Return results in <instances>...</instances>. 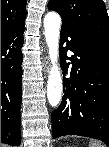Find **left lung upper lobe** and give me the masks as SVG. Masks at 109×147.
<instances>
[{
  "label": "left lung upper lobe",
  "mask_w": 109,
  "mask_h": 147,
  "mask_svg": "<svg viewBox=\"0 0 109 147\" xmlns=\"http://www.w3.org/2000/svg\"><path fill=\"white\" fill-rule=\"evenodd\" d=\"M48 8L60 14L62 23L109 43V16L102 0H50Z\"/></svg>",
  "instance_id": "1"
}]
</instances>
